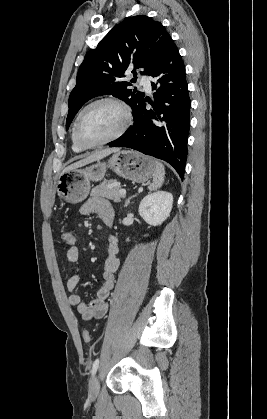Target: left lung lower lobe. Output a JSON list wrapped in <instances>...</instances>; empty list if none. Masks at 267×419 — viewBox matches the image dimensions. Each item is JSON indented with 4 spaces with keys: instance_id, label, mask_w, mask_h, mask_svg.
<instances>
[{
    "instance_id": "left-lung-lower-lobe-1",
    "label": "left lung lower lobe",
    "mask_w": 267,
    "mask_h": 419,
    "mask_svg": "<svg viewBox=\"0 0 267 419\" xmlns=\"http://www.w3.org/2000/svg\"><path fill=\"white\" fill-rule=\"evenodd\" d=\"M154 103L143 98L133 111L134 124L109 147H128L171 164L184 177L191 101L185 65L171 39L159 63L148 74ZM146 102L152 109H146Z\"/></svg>"
}]
</instances>
